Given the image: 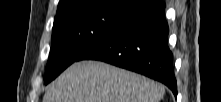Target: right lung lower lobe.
<instances>
[{
  "instance_id": "obj_1",
  "label": "right lung lower lobe",
  "mask_w": 221,
  "mask_h": 102,
  "mask_svg": "<svg viewBox=\"0 0 221 102\" xmlns=\"http://www.w3.org/2000/svg\"><path fill=\"white\" fill-rule=\"evenodd\" d=\"M165 4L155 0L88 49L80 60H100L165 84L177 96Z\"/></svg>"
}]
</instances>
